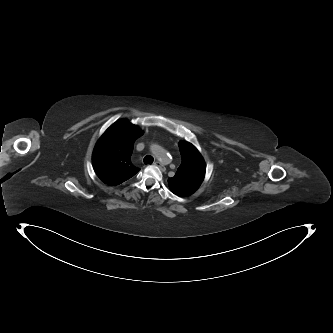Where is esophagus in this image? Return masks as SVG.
I'll return each instance as SVG.
<instances>
[{
  "label": "esophagus",
  "instance_id": "obj_1",
  "mask_svg": "<svg viewBox=\"0 0 333 333\" xmlns=\"http://www.w3.org/2000/svg\"><path fill=\"white\" fill-rule=\"evenodd\" d=\"M153 164H154V166L160 167L162 170L164 169L162 163L160 161H158V160L155 161Z\"/></svg>",
  "mask_w": 333,
  "mask_h": 333
}]
</instances>
